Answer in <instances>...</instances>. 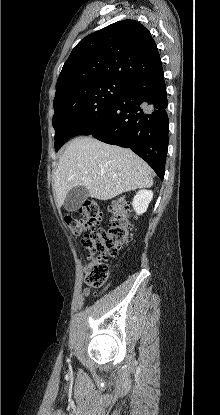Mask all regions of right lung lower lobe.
Instances as JSON below:
<instances>
[{
  "label": "right lung lower lobe",
  "instance_id": "1",
  "mask_svg": "<svg viewBox=\"0 0 220 415\" xmlns=\"http://www.w3.org/2000/svg\"><path fill=\"white\" fill-rule=\"evenodd\" d=\"M167 104L161 69L130 83L104 124L91 135L102 142L132 149L163 180L169 131Z\"/></svg>",
  "mask_w": 220,
  "mask_h": 415
}]
</instances>
